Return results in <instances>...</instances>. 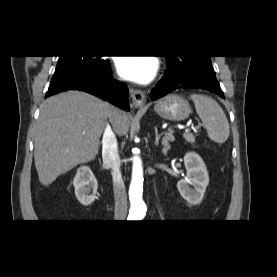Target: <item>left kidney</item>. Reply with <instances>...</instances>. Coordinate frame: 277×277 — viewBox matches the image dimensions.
I'll list each match as a JSON object with an SVG mask.
<instances>
[{
    "mask_svg": "<svg viewBox=\"0 0 277 277\" xmlns=\"http://www.w3.org/2000/svg\"><path fill=\"white\" fill-rule=\"evenodd\" d=\"M184 165L187 177L178 181V191L190 204H199L209 184L206 165L202 158L195 152H188L185 154ZM190 186H193V188Z\"/></svg>",
    "mask_w": 277,
    "mask_h": 277,
    "instance_id": "obj_1",
    "label": "left kidney"
}]
</instances>
